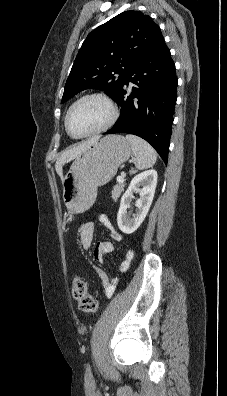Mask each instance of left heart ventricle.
Listing matches in <instances>:
<instances>
[{"label": "left heart ventricle", "instance_id": "obj_1", "mask_svg": "<svg viewBox=\"0 0 227 396\" xmlns=\"http://www.w3.org/2000/svg\"><path fill=\"white\" fill-rule=\"evenodd\" d=\"M110 117V110L105 102L91 98L79 103L69 116V127L76 135H83L105 124Z\"/></svg>", "mask_w": 227, "mask_h": 396}]
</instances>
